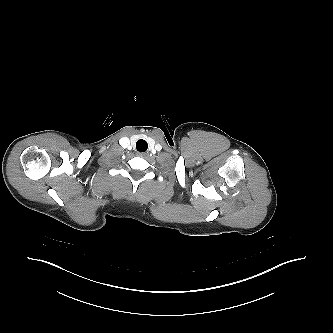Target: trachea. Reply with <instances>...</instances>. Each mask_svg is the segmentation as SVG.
Here are the masks:
<instances>
[{
  "label": "trachea",
  "mask_w": 333,
  "mask_h": 333,
  "mask_svg": "<svg viewBox=\"0 0 333 333\" xmlns=\"http://www.w3.org/2000/svg\"><path fill=\"white\" fill-rule=\"evenodd\" d=\"M136 148L139 152H145L148 148V143L143 139H139L136 143Z\"/></svg>",
  "instance_id": "1"
}]
</instances>
